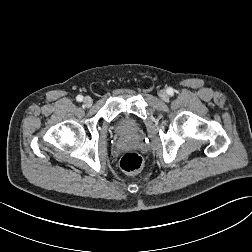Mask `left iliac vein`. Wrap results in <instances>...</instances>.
I'll return each instance as SVG.
<instances>
[{
    "label": "left iliac vein",
    "mask_w": 252,
    "mask_h": 252,
    "mask_svg": "<svg viewBox=\"0 0 252 252\" xmlns=\"http://www.w3.org/2000/svg\"><path fill=\"white\" fill-rule=\"evenodd\" d=\"M159 96L160 98L163 100V101H167L168 100V94L165 90H161L160 93H159Z\"/></svg>",
    "instance_id": "obj_1"
}]
</instances>
